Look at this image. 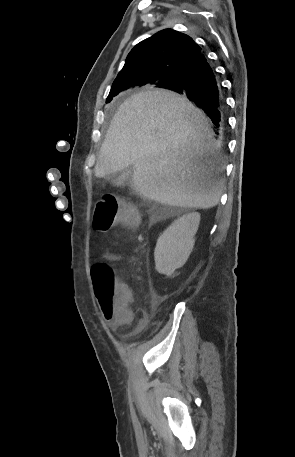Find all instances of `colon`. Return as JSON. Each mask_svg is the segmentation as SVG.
<instances>
[{"label":"colon","mask_w":295,"mask_h":457,"mask_svg":"<svg viewBox=\"0 0 295 457\" xmlns=\"http://www.w3.org/2000/svg\"><path fill=\"white\" fill-rule=\"evenodd\" d=\"M138 219L132 206L120 202L114 195L107 194L96 204L93 226L99 232H108L118 222L136 224ZM91 276L104 317L128 319V307L133 299L131 287L117 280L110 266L103 262H97L91 267Z\"/></svg>","instance_id":"colon-1"}]
</instances>
